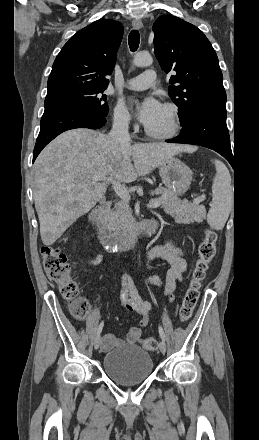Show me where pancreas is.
Segmentation results:
<instances>
[{
    "label": "pancreas",
    "mask_w": 259,
    "mask_h": 440,
    "mask_svg": "<svg viewBox=\"0 0 259 440\" xmlns=\"http://www.w3.org/2000/svg\"><path fill=\"white\" fill-rule=\"evenodd\" d=\"M152 194L161 195L157 200L161 202L164 211L176 219L181 221H201L205 218V207L200 205L201 196L194 199L193 202H188L180 200L175 194L163 187L155 189ZM133 221L129 202L122 200L110 211L107 217V227L114 232L126 231Z\"/></svg>",
    "instance_id": "obj_1"
}]
</instances>
